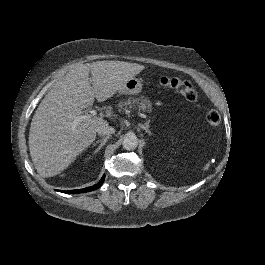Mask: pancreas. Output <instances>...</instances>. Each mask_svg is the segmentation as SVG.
Here are the masks:
<instances>
[{"mask_svg":"<svg viewBox=\"0 0 265 265\" xmlns=\"http://www.w3.org/2000/svg\"><path fill=\"white\" fill-rule=\"evenodd\" d=\"M133 104V106H130V104ZM129 106V111H133V110H144L145 112H150V105L148 103V100L144 99V98H133L131 96H129L127 98V100L122 99L118 102V105L116 107V110L118 112L121 113H125L127 110V107Z\"/></svg>","mask_w":265,"mask_h":265,"instance_id":"cf45deb5","label":"pancreas"}]
</instances>
